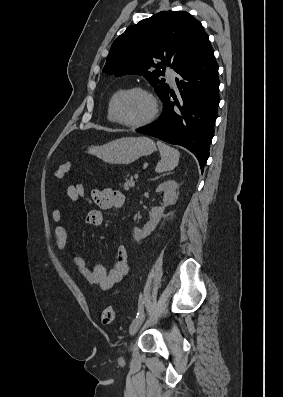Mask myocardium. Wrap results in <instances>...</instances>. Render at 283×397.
<instances>
[{
    "instance_id": "f54148a6",
    "label": "myocardium",
    "mask_w": 283,
    "mask_h": 397,
    "mask_svg": "<svg viewBox=\"0 0 283 397\" xmlns=\"http://www.w3.org/2000/svg\"><path fill=\"white\" fill-rule=\"evenodd\" d=\"M135 92L142 93L150 99L151 104H152V110H151V113L148 115V117H146L145 119H143L139 122H126L119 117L118 103H119V100L122 97H124L125 95L130 94V93H135ZM158 112H159V103H158L156 96L149 89L142 87V86H133V87H128V88L123 89L114 97L113 102H112V113H113L115 122H117L118 124H120L122 126L128 127V128L136 129V128H140V127L150 124L152 121L155 120V118L158 115Z\"/></svg>"
}]
</instances>
